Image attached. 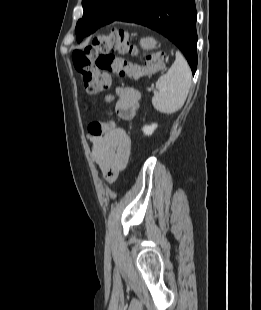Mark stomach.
I'll list each match as a JSON object with an SVG mask.
<instances>
[{
  "mask_svg": "<svg viewBox=\"0 0 261 310\" xmlns=\"http://www.w3.org/2000/svg\"><path fill=\"white\" fill-rule=\"evenodd\" d=\"M140 45L143 49H153L156 46V41L153 38L146 37L140 40Z\"/></svg>",
  "mask_w": 261,
  "mask_h": 310,
  "instance_id": "1",
  "label": "stomach"
}]
</instances>
